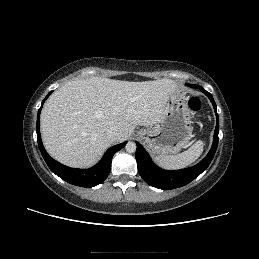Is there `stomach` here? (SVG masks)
<instances>
[{"instance_id": "stomach-1", "label": "stomach", "mask_w": 259, "mask_h": 259, "mask_svg": "<svg viewBox=\"0 0 259 259\" xmlns=\"http://www.w3.org/2000/svg\"><path fill=\"white\" fill-rule=\"evenodd\" d=\"M190 113L182 89L176 85L163 109L160 121L138 132L148 151L154 156L178 153L192 138Z\"/></svg>"}]
</instances>
